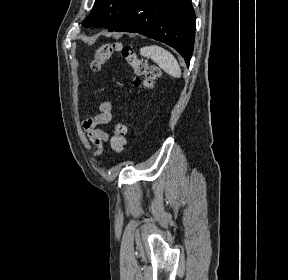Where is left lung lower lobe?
<instances>
[{
  "label": "left lung lower lobe",
  "mask_w": 288,
  "mask_h": 280,
  "mask_svg": "<svg viewBox=\"0 0 288 280\" xmlns=\"http://www.w3.org/2000/svg\"><path fill=\"white\" fill-rule=\"evenodd\" d=\"M191 0H138L113 31L139 33L173 47L189 66L195 37Z\"/></svg>",
  "instance_id": "left-lung-lower-lobe-1"
}]
</instances>
